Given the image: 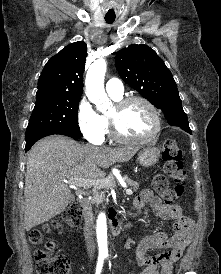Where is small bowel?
<instances>
[{
    "label": "small bowel",
    "instance_id": "c3829d8e",
    "mask_svg": "<svg viewBox=\"0 0 221 274\" xmlns=\"http://www.w3.org/2000/svg\"><path fill=\"white\" fill-rule=\"evenodd\" d=\"M147 203L151 205L157 218L174 221V233L169 236L165 231H158L139 243L136 261L143 268L140 274H172L174 264L192 240L193 221L184 215L178 205L164 203L149 189L142 190L135 198L132 209L140 211ZM149 250L162 252L149 255Z\"/></svg>",
    "mask_w": 221,
    "mask_h": 274
}]
</instances>
